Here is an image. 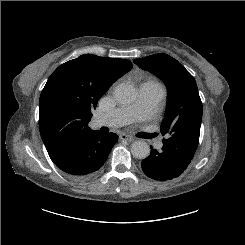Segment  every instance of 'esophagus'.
Returning <instances> with one entry per match:
<instances>
[{
	"label": "esophagus",
	"mask_w": 245,
	"mask_h": 245,
	"mask_svg": "<svg viewBox=\"0 0 245 245\" xmlns=\"http://www.w3.org/2000/svg\"><path fill=\"white\" fill-rule=\"evenodd\" d=\"M119 138H120L121 140H127V141H129V142H132V141L135 140L134 137H132V136L126 134V133H121V134L119 135Z\"/></svg>",
	"instance_id": "esophagus-1"
}]
</instances>
